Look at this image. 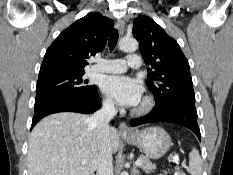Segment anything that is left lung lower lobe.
Returning a JSON list of instances; mask_svg holds the SVG:
<instances>
[{"label": "left lung lower lobe", "instance_id": "obj_1", "mask_svg": "<svg viewBox=\"0 0 233 175\" xmlns=\"http://www.w3.org/2000/svg\"><path fill=\"white\" fill-rule=\"evenodd\" d=\"M155 122H170L185 126L192 130L201 140L195 103H177L164 110H152L151 113L144 117L132 119L130 124L131 126H138Z\"/></svg>", "mask_w": 233, "mask_h": 175}]
</instances>
